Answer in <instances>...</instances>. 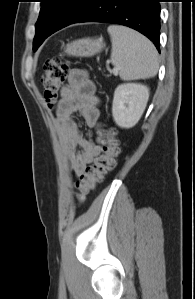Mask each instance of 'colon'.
<instances>
[{
    "label": "colon",
    "instance_id": "1",
    "mask_svg": "<svg viewBox=\"0 0 195 299\" xmlns=\"http://www.w3.org/2000/svg\"><path fill=\"white\" fill-rule=\"evenodd\" d=\"M68 72L69 63L61 57L49 58L45 62L41 85L44 99L50 107L57 102ZM102 137L101 153L95 158L94 163L85 169L75 184L74 195L78 202H83L116 166V157L119 154L116 130L114 128L105 129L102 132Z\"/></svg>",
    "mask_w": 195,
    "mask_h": 299
}]
</instances>
